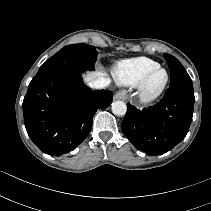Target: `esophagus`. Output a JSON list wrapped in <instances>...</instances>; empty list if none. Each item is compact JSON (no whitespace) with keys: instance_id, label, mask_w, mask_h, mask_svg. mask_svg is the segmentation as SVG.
I'll list each match as a JSON object with an SVG mask.
<instances>
[{"instance_id":"esophagus-1","label":"esophagus","mask_w":211,"mask_h":211,"mask_svg":"<svg viewBox=\"0 0 211 211\" xmlns=\"http://www.w3.org/2000/svg\"><path fill=\"white\" fill-rule=\"evenodd\" d=\"M125 97H126V91L122 90V91H119L115 94L114 99L115 100H119V99L123 100V99H125Z\"/></svg>"}]
</instances>
